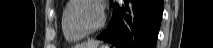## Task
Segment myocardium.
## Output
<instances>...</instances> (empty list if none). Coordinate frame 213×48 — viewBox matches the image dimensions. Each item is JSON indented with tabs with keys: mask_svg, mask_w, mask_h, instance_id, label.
<instances>
[{
	"mask_svg": "<svg viewBox=\"0 0 213 48\" xmlns=\"http://www.w3.org/2000/svg\"><path fill=\"white\" fill-rule=\"evenodd\" d=\"M83 2H92V3L97 4L100 7L101 19H100L99 24L93 29H89V30L84 29L74 19L73 13H74L75 9ZM67 20H68V23H69L70 27L72 28V30L75 31L80 36L85 37V36L93 35V34L99 32L105 25V22H106L105 6H104L103 2L100 0H71L70 6H69L68 12H67Z\"/></svg>",
	"mask_w": 213,
	"mask_h": 48,
	"instance_id": "myocardium-1",
	"label": "myocardium"
}]
</instances>
